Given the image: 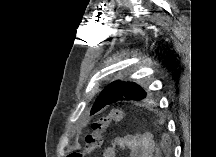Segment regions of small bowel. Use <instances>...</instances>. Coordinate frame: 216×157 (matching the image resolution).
<instances>
[{
    "mask_svg": "<svg viewBox=\"0 0 216 157\" xmlns=\"http://www.w3.org/2000/svg\"><path fill=\"white\" fill-rule=\"evenodd\" d=\"M117 149L128 150L131 157H153L155 151L154 136L150 132L137 135L116 137L104 149L103 157H115Z\"/></svg>",
    "mask_w": 216,
    "mask_h": 157,
    "instance_id": "obj_1",
    "label": "small bowel"
}]
</instances>
